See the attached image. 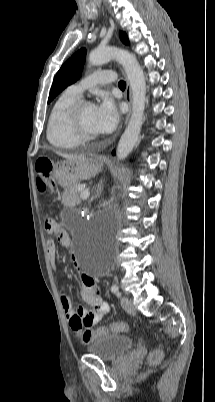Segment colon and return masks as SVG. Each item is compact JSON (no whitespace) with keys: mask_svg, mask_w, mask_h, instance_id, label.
I'll return each instance as SVG.
<instances>
[{"mask_svg":"<svg viewBox=\"0 0 215 402\" xmlns=\"http://www.w3.org/2000/svg\"><path fill=\"white\" fill-rule=\"evenodd\" d=\"M53 156H40L35 164L36 171V185L41 193L52 191L55 188V180L53 176L54 164ZM54 220L46 218L44 220V228L51 229ZM128 327L124 322H114L109 326H102L97 329H86L80 333V338L84 343H90L98 337L108 334H118L127 331ZM162 351L154 350L149 356V362L152 364L158 363L162 359Z\"/></svg>","mask_w":215,"mask_h":402,"instance_id":"obj_1","label":"colon"}]
</instances>
